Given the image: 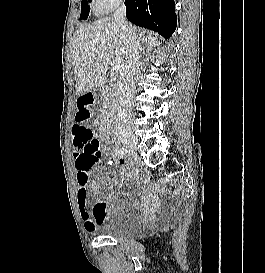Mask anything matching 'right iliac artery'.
Returning <instances> with one entry per match:
<instances>
[{
    "label": "right iliac artery",
    "mask_w": 265,
    "mask_h": 273,
    "mask_svg": "<svg viewBox=\"0 0 265 273\" xmlns=\"http://www.w3.org/2000/svg\"><path fill=\"white\" fill-rule=\"evenodd\" d=\"M127 153H128V149L119 148V147H117V148L115 149V154H116L118 157H123V156H125Z\"/></svg>",
    "instance_id": "1"
}]
</instances>
